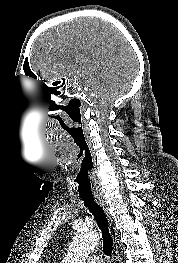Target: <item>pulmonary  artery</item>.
<instances>
[{
    "label": "pulmonary artery",
    "instance_id": "obj_1",
    "mask_svg": "<svg viewBox=\"0 0 178 263\" xmlns=\"http://www.w3.org/2000/svg\"><path fill=\"white\" fill-rule=\"evenodd\" d=\"M86 263H103V260L100 256L98 255H90L86 259Z\"/></svg>",
    "mask_w": 178,
    "mask_h": 263
}]
</instances>
